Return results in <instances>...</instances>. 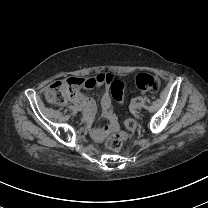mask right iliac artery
<instances>
[{
  "instance_id": "right-iliac-artery-1",
  "label": "right iliac artery",
  "mask_w": 208,
  "mask_h": 208,
  "mask_svg": "<svg viewBox=\"0 0 208 208\" xmlns=\"http://www.w3.org/2000/svg\"><path fill=\"white\" fill-rule=\"evenodd\" d=\"M74 105H75V106H78V103H77V102H74Z\"/></svg>"
}]
</instances>
